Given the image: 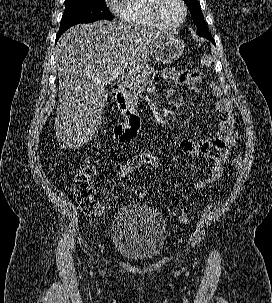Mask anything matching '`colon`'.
Instances as JSON below:
<instances>
[{
  "label": "colon",
  "instance_id": "obj_1",
  "mask_svg": "<svg viewBox=\"0 0 272 303\" xmlns=\"http://www.w3.org/2000/svg\"><path fill=\"white\" fill-rule=\"evenodd\" d=\"M203 65H209L212 62V57L204 55L201 58ZM242 164V158L240 155L236 156L233 160L232 168L236 172L239 170ZM137 170H147L159 172L162 170V162L159 157L150 152H139L125 162L120 168L119 179H123L131 172ZM94 169L91 165H84L74 176V196L79 204L84 215L89 220H94L101 216L106 210V205L96 198L95 188L92 184V176ZM135 194L140 199L148 197V190L145 187H138L135 190ZM179 221L182 223H189L192 219L189 213L181 212L175 214Z\"/></svg>",
  "mask_w": 272,
  "mask_h": 303
}]
</instances>
